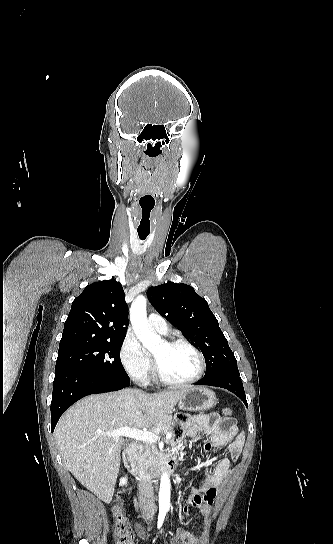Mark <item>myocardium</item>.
<instances>
[{
  "label": "myocardium",
  "instance_id": "f54148a6",
  "mask_svg": "<svg viewBox=\"0 0 333 544\" xmlns=\"http://www.w3.org/2000/svg\"><path fill=\"white\" fill-rule=\"evenodd\" d=\"M164 343L170 347L172 346H176V345H183V346H186L188 347L190 350H192L198 360H199V369L197 371V373L190 379L188 380H185V381H171L167 378H165L163 376V374L161 373L160 371V368L158 366V363L156 361V359L154 358L153 356V370H154V376H155V379L162 385H165V386H168V387H186V386H190L196 382H198L205 374L206 372V367H207V364H206V359L203 355V353L194 345L192 344L191 342H189L188 340L184 339V338H174V339H167V340H164Z\"/></svg>",
  "mask_w": 333,
  "mask_h": 544
}]
</instances>
